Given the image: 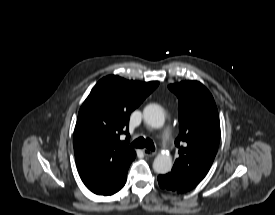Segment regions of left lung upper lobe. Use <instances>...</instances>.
I'll list each match as a JSON object with an SVG mask.
<instances>
[{
    "label": "left lung upper lobe",
    "mask_w": 275,
    "mask_h": 215,
    "mask_svg": "<svg viewBox=\"0 0 275 215\" xmlns=\"http://www.w3.org/2000/svg\"><path fill=\"white\" fill-rule=\"evenodd\" d=\"M179 101L180 134L175 144L179 157L173 169L202 180L208 173L220 142V121L211 93L198 81L168 86Z\"/></svg>",
    "instance_id": "1"
}]
</instances>
